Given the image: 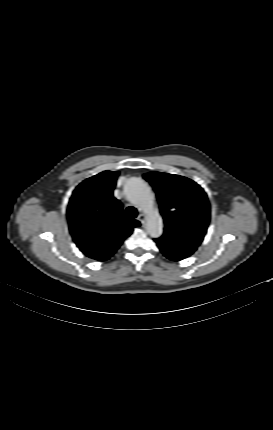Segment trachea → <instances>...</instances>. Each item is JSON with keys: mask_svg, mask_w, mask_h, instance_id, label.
Segmentation results:
<instances>
[{"mask_svg": "<svg viewBox=\"0 0 273 430\" xmlns=\"http://www.w3.org/2000/svg\"><path fill=\"white\" fill-rule=\"evenodd\" d=\"M137 215H138V212L136 208L132 206H129L126 208L125 217L127 220L134 219L137 217Z\"/></svg>", "mask_w": 273, "mask_h": 430, "instance_id": "3493384b", "label": "trachea"}]
</instances>
